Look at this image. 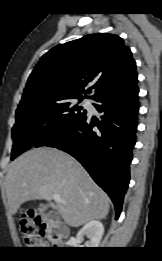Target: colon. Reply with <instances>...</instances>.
<instances>
[{
  "label": "colon",
  "mask_w": 162,
  "mask_h": 261,
  "mask_svg": "<svg viewBox=\"0 0 162 261\" xmlns=\"http://www.w3.org/2000/svg\"><path fill=\"white\" fill-rule=\"evenodd\" d=\"M20 233L28 248H41L49 244L58 245L65 237L55 213L28 209L19 219Z\"/></svg>",
  "instance_id": "1"
}]
</instances>
